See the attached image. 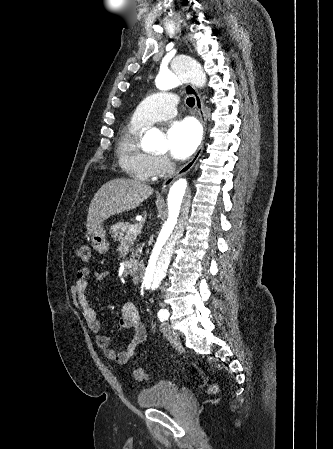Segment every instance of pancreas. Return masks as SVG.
I'll return each instance as SVG.
<instances>
[{
	"label": "pancreas",
	"instance_id": "obj_1",
	"mask_svg": "<svg viewBox=\"0 0 333 449\" xmlns=\"http://www.w3.org/2000/svg\"><path fill=\"white\" fill-rule=\"evenodd\" d=\"M132 225L128 222H118L114 226H112V237L114 241H119L121 244L126 243L128 246H131L136 241V238L139 234L137 233H131L129 231L130 227ZM139 229L141 226L138 227ZM138 256V250L133 253L131 261H135V257Z\"/></svg>",
	"mask_w": 333,
	"mask_h": 449
}]
</instances>
